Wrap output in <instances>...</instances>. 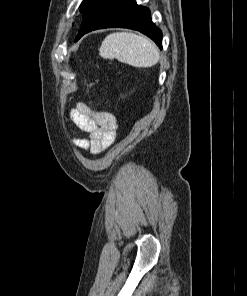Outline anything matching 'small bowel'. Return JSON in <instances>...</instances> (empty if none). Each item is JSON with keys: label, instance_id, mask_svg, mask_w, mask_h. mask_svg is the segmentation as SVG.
<instances>
[{"label": "small bowel", "instance_id": "obj_1", "mask_svg": "<svg viewBox=\"0 0 247 296\" xmlns=\"http://www.w3.org/2000/svg\"><path fill=\"white\" fill-rule=\"evenodd\" d=\"M73 123L89 135L88 139L73 137L72 143L92 154L100 153L111 145L117 133V122L109 112H96L82 102L70 110Z\"/></svg>", "mask_w": 247, "mask_h": 296}]
</instances>
